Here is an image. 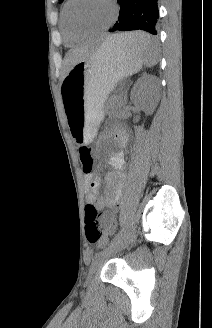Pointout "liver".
I'll list each match as a JSON object with an SVG mask.
<instances>
[{
    "instance_id": "liver-1",
    "label": "liver",
    "mask_w": 212,
    "mask_h": 328,
    "mask_svg": "<svg viewBox=\"0 0 212 328\" xmlns=\"http://www.w3.org/2000/svg\"><path fill=\"white\" fill-rule=\"evenodd\" d=\"M109 37H111V36H108L107 38H109ZM93 54H94V51L92 49H89L86 47H79V48L71 49L65 57V66H66L65 75L69 72V70L74 65H76L80 61H83V60L89 58Z\"/></svg>"
}]
</instances>
